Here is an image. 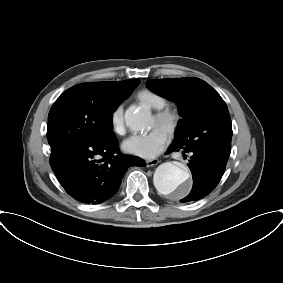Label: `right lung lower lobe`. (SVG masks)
<instances>
[{"label": "right lung lower lobe", "mask_w": 283, "mask_h": 283, "mask_svg": "<svg viewBox=\"0 0 283 283\" xmlns=\"http://www.w3.org/2000/svg\"><path fill=\"white\" fill-rule=\"evenodd\" d=\"M116 137L103 143L77 141L51 146L50 165L60 184L74 199L99 204L119 189L131 166H145L135 156L119 152Z\"/></svg>", "instance_id": "1"}]
</instances>
